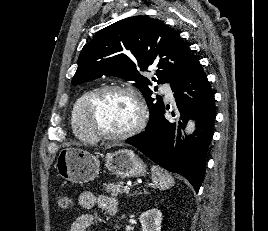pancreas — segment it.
Wrapping results in <instances>:
<instances>
[{"instance_id": "pancreas-1", "label": "pancreas", "mask_w": 268, "mask_h": 231, "mask_svg": "<svg viewBox=\"0 0 268 231\" xmlns=\"http://www.w3.org/2000/svg\"><path fill=\"white\" fill-rule=\"evenodd\" d=\"M123 188H124L123 182H113L104 184V190L115 197L124 192Z\"/></svg>"}]
</instances>
